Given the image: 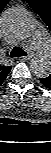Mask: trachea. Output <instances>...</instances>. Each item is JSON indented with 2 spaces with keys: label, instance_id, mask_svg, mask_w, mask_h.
<instances>
[{
  "label": "trachea",
  "instance_id": "obj_1",
  "mask_svg": "<svg viewBox=\"0 0 51 153\" xmlns=\"http://www.w3.org/2000/svg\"><path fill=\"white\" fill-rule=\"evenodd\" d=\"M22 56H27V53L22 50L20 47H14L11 52H10V57H22Z\"/></svg>",
  "mask_w": 51,
  "mask_h": 153
}]
</instances>
